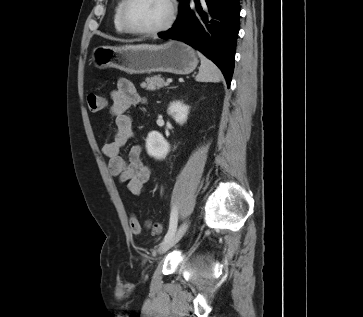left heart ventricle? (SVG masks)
<instances>
[{
  "mask_svg": "<svg viewBox=\"0 0 363 317\" xmlns=\"http://www.w3.org/2000/svg\"><path fill=\"white\" fill-rule=\"evenodd\" d=\"M168 14L166 0H133L128 10V19L134 28L147 30L162 25Z\"/></svg>",
  "mask_w": 363,
  "mask_h": 317,
  "instance_id": "1",
  "label": "left heart ventricle"
}]
</instances>
